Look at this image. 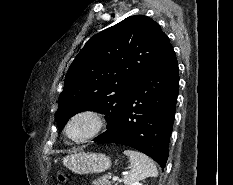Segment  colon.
Returning <instances> with one entry per match:
<instances>
[{
	"label": "colon",
	"instance_id": "5ec220e1",
	"mask_svg": "<svg viewBox=\"0 0 233 185\" xmlns=\"http://www.w3.org/2000/svg\"><path fill=\"white\" fill-rule=\"evenodd\" d=\"M59 179H60L61 182H63V181H64V176L61 174V175L59 176Z\"/></svg>",
	"mask_w": 233,
	"mask_h": 185
}]
</instances>
